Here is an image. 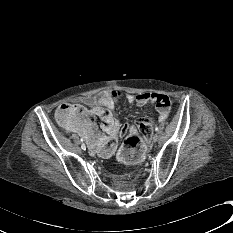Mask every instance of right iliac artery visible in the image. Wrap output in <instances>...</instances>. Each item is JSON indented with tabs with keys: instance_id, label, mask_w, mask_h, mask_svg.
<instances>
[{
	"instance_id": "right-iliac-artery-1",
	"label": "right iliac artery",
	"mask_w": 233,
	"mask_h": 233,
	"mask_svg": "<svg viewBox=\"0 0 233 233\" xmlns=\"http://www.w3.org/2000/svg\"><path fill=\"white\" fill-rule=\"evenodd\" d=\"M81 141H83V138H81ZM81 148H82L83 150H86L85 144H82V145H81Z\"/></svg>"
}]
</instances>
